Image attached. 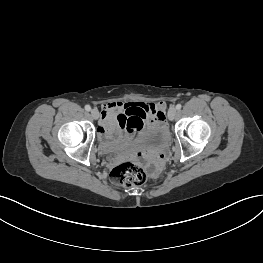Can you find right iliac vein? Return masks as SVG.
<instances>
[{
  "label": "right iliac vein",
  "mask_w": 263,
  "mask_h": 263,
  "mask_svg": "<svg viewBox=\"0 0 263 263\" xmlns=\"http://www.w3.org/2000/svg\"><path fill=\"white\" fill-rule=\"evenodd\" d=\"M91 116L93 119L97 120L99 118V111L97 109H92Z\"/></svg>",
  "instance_id": "1"
}]
</instances>
